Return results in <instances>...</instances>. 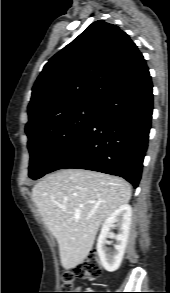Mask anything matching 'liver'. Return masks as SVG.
I'll list each match as a JSON object with an SVG mask.
<instances>
[{"label": "liver", "mask_w": 170, "mask_h": 293, "mask_svg": "<svg viewBox=\"0 0 170 293\" xmlns=\"http://www.w3.org/2000/svg\"><path fill=\"white\" fill-rule=\"evenodd\" d=\"M130 198L131 187L124 179L83 169L59 170L32 190L42 220L57 240L65 269L84 261L102 222Z\"/></svg>", "instance_id": "liver-1"}]
</instances>
